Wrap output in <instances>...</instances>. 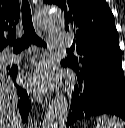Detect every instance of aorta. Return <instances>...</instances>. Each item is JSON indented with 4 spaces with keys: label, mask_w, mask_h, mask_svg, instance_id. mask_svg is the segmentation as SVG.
<instances>
[{
    "label": "aorta",
    "mask_w": 125,
    "mask_h": 128,
    "mask_svg": "<svg viewBox=\"0 0 125 128\" xmlns=\"http://www.w3.org/2000/svg\"><path fill=\"white\" fill-rule=\"evenodd\" d=\"M37 24L48 32L64 28V14L54 5H44L37 12ZM68 118V101L62 94L56 95L45 113L43 128H65Z\"/></svg>",
    "instance_id": "obj_1"
}]
</instances>
